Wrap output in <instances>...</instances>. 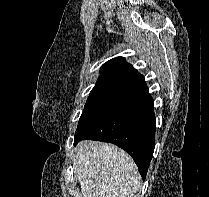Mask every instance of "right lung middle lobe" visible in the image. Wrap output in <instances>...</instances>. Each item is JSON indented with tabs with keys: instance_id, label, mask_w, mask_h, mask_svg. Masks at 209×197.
<instances>
[{
	"instance_id": "1",
	"label": "right lung middle lobe",
	"mask_w": 209,
	"mask_h": 197,
	"mask_svg": "<svg viewBox=\"0 0 209 197\" xmlns=\"http://www.w3.org/2000/svg\"><path fill=\"white\" fill-rule=\"evenodd\" d=\"M140 93L136 90L111 83L96 84L89 94L77 131L104 116L118 106L132 100Z\"/></svg>"
}]
</instances>
